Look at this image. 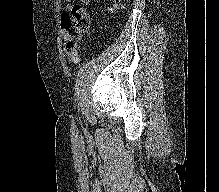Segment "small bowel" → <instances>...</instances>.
I'll return each instance as SVG.
<instances>
[{
    "label": "small bowel",
    "mask_w": 219,
    "mask_h": 192,
    "mask_svg": "<svg viewBox=\"0 0 219 192\" xmlns=\"http://www.w3.org/2000/svg\"><path fill=\"white\" fill-rule=\"evenodd\" d=\"M67 1H68V4H69V1H70V0H67ZM89 1H90V0H82V2L85 3V4L89 3ZM68 4H67V5H68Z\"/></svg>",
    "instance_id": "obj_1"
}]
</instances>
